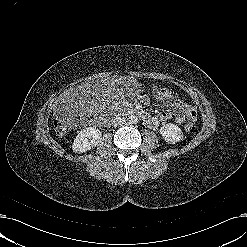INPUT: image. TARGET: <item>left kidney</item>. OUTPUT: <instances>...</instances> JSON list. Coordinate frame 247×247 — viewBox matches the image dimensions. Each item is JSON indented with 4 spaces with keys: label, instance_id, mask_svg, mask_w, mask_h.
<instances>
[{
    "label": "left kidney",
    "instance_id": "obj_1",
    "mask_svg": "<svg viewBox=\"0 0 247 247\" xmlns=\"http://www.w3.org/2000/svg\"><path fill=\"white\" fill-rule=\"evenodd\" d=\"M160 134L170 144H175L183 139L182 130L175 124L169 123L160 128Z\"/></svg>",
    "mask_w": 247,
    "mask_h": 247
}]
</instances>
